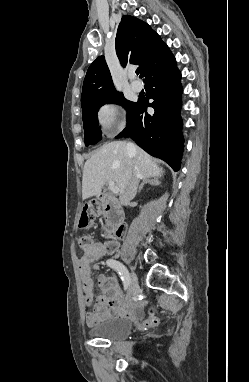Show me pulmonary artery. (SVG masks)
<instances>
[{"label":"pulmonary artery","mask_w":249,"mask_h":382,"mask_svg":"<svg viewBox=\"0 0 249 382\" xmlns=\"http://www.w3.org/2000/svg\"><path fill=\"white\" fill-rule=\"evenodd\" d=\"M130 77L132 79L131 81V88L134 90V91H140L142 89V82L135 79V74L134 72H131L130 73Z\"/></svg>","instance_id":"pulmonary-artery-1"}]
</instances>
